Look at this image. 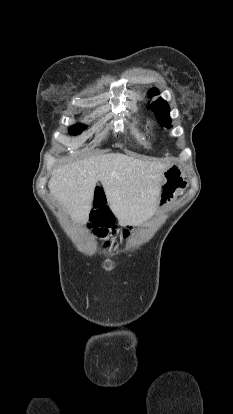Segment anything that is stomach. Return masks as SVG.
I'll use <instances>...</instances> for the list:
<instances>
[{"instance_id": "stomach-1", "label": "stomach", "mask_w": 233, "mask_h": 414, "mask_svg": "<svg viewBox=\"0 0 233 414\" xmlns=\"http://www.w3.org/2000/svg\"><path fill=\"white\" fill-rule=\"evenodd\" d=\"M188 184L184 169L175 161H171L163 174V182L160 185V192L157 206H163Z\"/></svg>"}]
</instances>
